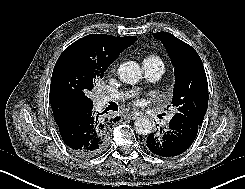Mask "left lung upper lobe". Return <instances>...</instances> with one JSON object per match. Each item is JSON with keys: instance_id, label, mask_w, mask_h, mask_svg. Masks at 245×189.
Returning a JSON list of instances; mask_svg holds the SVG:
<instances>
[{"instance_id": "obj_1", "label": "left lung upper lobe", "mask_w": 245, "mask_h": 189, "mask_svg": "<svg viewBox=\"0 0 245 189\" xmlns=\"http://www.w3.org/2000/svg\"><path fill=\"white\" fill-rule=\"evenodd\" d=\"M153 35L163 43L174 66L172 105L179 111L174 116L190 118L201 125L208 106V83L198 53L168 32Z\"/></svg>"}]
</instances>
